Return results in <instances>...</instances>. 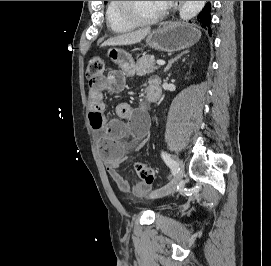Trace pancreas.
I'll return each instance as SVG.
<instances>
[{
  "label": "pancreas",
  "instance_id": "cf45deb5",
  "mask_svg": "<svg viewBox=\"0 0 271 266\" xmlns=\"http://www.w3.org/2000/svg\"><path fill=\"white\" fill-rule=\"evenodd\" d=\"M154 56L144 55L136 63L135 70L138 75H145L154 72L158 69L155 66Z\"/></svg>",
  "mask_w": 271,
  "mask_h": 266
}]
</instances>
